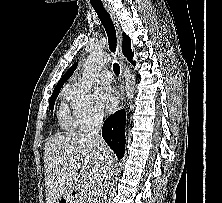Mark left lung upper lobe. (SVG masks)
Returning a JSON list of instances; mask_svg holds the SVG:
<instances>
[{"mask_svg": "<svg viewBox=\"0 0 222 203\" xmlns=\"http://www.w3.org/2000/svg\"><path fill=\"white\" fill-rule=\"evenodd\" d=\"M130 45H131L130 38L125 33H123L122 51L124 56L127 57V59L133 55Z\"/></svg>", "mask_w": 222, "mask_h": 203, "instance_id": "5c2ea615", "label": "left lung upper lobe"}]
</instances>
